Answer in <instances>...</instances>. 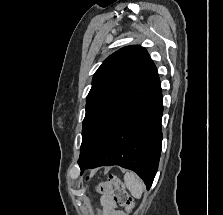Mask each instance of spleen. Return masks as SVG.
<instances>
[{
  "label": "spleen",
  "mask_w": 223,
  "mask_h": 215,
  "mask_svg": "<svg viewBox=\"0 0 223 215\" xmlns=\"http://www.w3.org/2000/svg\"><path fill=\"white\" fill-rule=\"evenodd\" d=\"M124 181L126 183L127 189H129V191H131L132 195H134V197H138V199H140V197L143 193L144 183H142V181H140V179H138V177H136V175H135V173H133V171H127V173H125Z\"/></svg>",
  "instance_id": "1"
}]
</instances>
